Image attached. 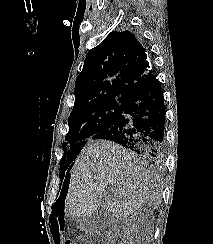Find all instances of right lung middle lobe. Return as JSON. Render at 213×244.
Returning <instances> with one entry per match:
<instances>
[{
  "mask_svg": "<svg viewBox=\"0 0 213 244\" xmlns=\"http://www.w3.org/2000/svg\"><path fill=\"white\" fill-rule=\"evenodd\" d=\"M129 100L126 96L109 95L72 109L68 119L69 132L63 144L65 155L60 161L61 180L85 143L108 130L120 117Z\"/></svg>",
  "mask_w": 213,
  "mask_h": 244,
  "instance_id": "1",
  "label": "right lung middle lobe"
}]
</instances>
